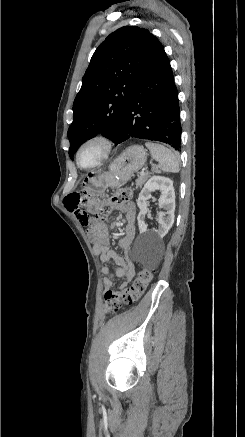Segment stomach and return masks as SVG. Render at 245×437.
I'll return each instance as SVG.
<instances>
[{"instance_id": "1", "label": "stomach", "mask_w": 245, "mask_h": 437, "mask_svg": "<svg viewBox=\"0 0 245 437\" xmlns=\"http://www.w3.org/2000/svg\"><path fill=\"white\" fill-rule=\"evenodd\" d=\"M146 150L143 146H129L110 166L108 172L92 171L83 179L84 188L97 194L107 188H116L129 181L134 173L146 162Z\"/></svg>"}]
</instances>
